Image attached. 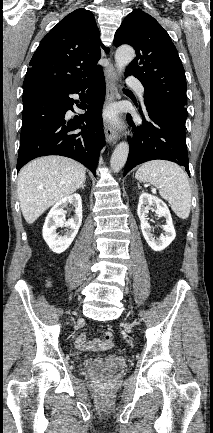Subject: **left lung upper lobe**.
I'll list each match as a JSON object with an SVG mask.
<instances>
[{"label":"left lung upper lobe","mask_w":213,"mask_h":433,"mask_svg":"<svg viewBox=\"0 0 213 433\" xmlns=\"http://www.w3.org/2000/svg\"><path fill=\"white\" fill-rule=\"evenodd\" d=\"M131 45L136 57L125 75H133L144 86V100L169 104L187 113L186 77L170 36L149 14L133 10L116 31L114 45Z\"/></svg>","instance_id":"1"}]
</instances>
